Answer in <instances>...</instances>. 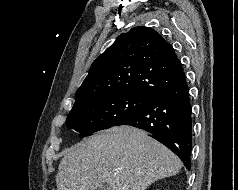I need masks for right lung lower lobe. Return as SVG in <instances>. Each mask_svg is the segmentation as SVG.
Instances as JSON below:
<instances>
[{
    "instance_id": "obj_1",
    "label": "right lung lower lobe",
    "mask_w": 238,
    "mask_h": 190,
    "mask_svg": "<svg viewBox=\"0 0 238 190\" xmlns=\"http://www.w3.org/2000/svg\"><path fill=\"white\" fill-rule=\"evenodd\" d=\"M191 114L189 89L184 75L142 110L116 125H131L152 133L155 139L176 153L190 170Z\"/></svg>"
}]
</instances>
